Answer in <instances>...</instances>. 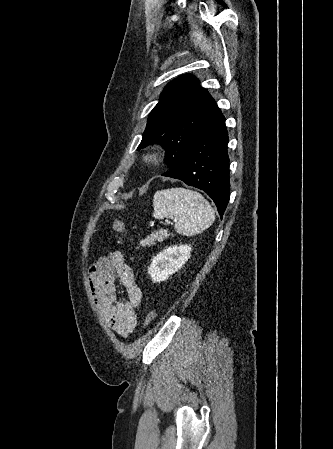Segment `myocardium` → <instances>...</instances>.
<instances>
[{
    "label": "myocardium",
    "instance_id": "myocardium-1",
    "mask_svg": "<svg viewBox=\"0 0 333 449\" xmlns=\"http://www.w3.org/2000/svg\"><path fill=\"white\" fill-rule=\"evenodd\" d=\"M162 159V153L157 149H151L144 153L143 160L149 164H158Z\"/></svg>",
    "mask_w": 333,
    "mask_h": 449
}]
</instances>
